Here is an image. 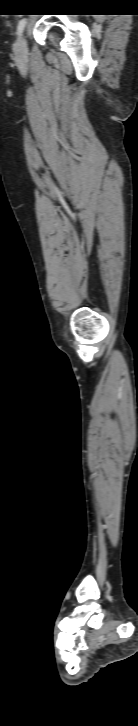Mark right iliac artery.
I'll return each mask as SVG.
<instances>
[{"instance_id": "right-iliac-artery-1", "label": "right iliac artery", "mask_w": 138, "mask_h": 726, "mask_svg": "<svg viewBox=\"0 0 138 726\" xmlns=\"http://www.w3.org/2000/svg\"><path fill=\"white\" fill-rule=\"evenodd\" d=\"M26 23H27V20H26L25 18H24V19H22V20H21V21L19 22V25H18V29H17V34H18L19 36H20V35H21V33L23 32V30H24V28H25V25H26Z\"/></svg>"}]
</instances>
